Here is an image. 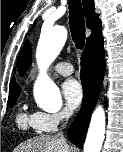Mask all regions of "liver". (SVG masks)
<instances>
[{
    "label": "liver",
    "instance_id": "obj_1",
    "mask_svg": "<svg viewBox=\"0 0 123 152\" xmlns=\"http://www.w3.org/2000/svg\"><path fill=\"white\" fill-rule=\"evenodd\" d=\"M73 149L58 136L41 135L22 143L14 152H71Z\"/></svg>",
    "mask_w": 123,
    "mask_h": 152
}]
</instances>
